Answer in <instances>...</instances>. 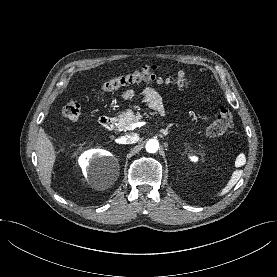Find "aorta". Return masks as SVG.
Listing matches in <instances>:
<instances>
[{
  "instance_id": "aorta-1",
  "label": "aorta",
  "mask_w": 277,
  "mask_h": 277,
  "mask_svg": "<svg viewBox=\"0 0 277 277\" xmlns=\"http://www.w3.org/2000/svg\"><path fill=\"white\" fill-rule=\"evenodd\" d=\"M159 149V142L156 139H150L146 143V151L149 153H155Z\"/></svg>"
}]
</instances>
